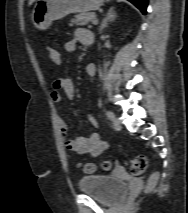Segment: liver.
<instances>
[{
  "instance_id": "6515ba94",
  "label": "liver",
  "mask_w": 188,
  "mask_h": 213,
  "mask_svg": "<svg viewBox=\"0 0 188 213\" xmlns=\"http://www.w3.org/2000/svg\"><path fill=\"white\" fill-rule=\"evenodd\" d=\"M36 0H29V5H32L33 2H35Z\"/></svg>"
}]
</instances>
